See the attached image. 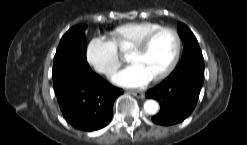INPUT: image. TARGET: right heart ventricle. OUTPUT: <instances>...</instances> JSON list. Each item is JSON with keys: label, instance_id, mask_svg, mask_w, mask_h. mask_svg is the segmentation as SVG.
<instances>
[{"label": "right heart ventricle", "instance_id": "obj_1", "mask_svg": "<svg viewBox=\"0 0 247 145\" xmlns=\"http://www.w3.org/2000/svg\"><path fill=\"white\" fill-rule=\"evenodd\" d=\"M159 27H161L160 24L154 22H130L115 27L109 32V35L117 49L127 50Z\"/></svg>", "mask_w": 247, "mask_h": 145}]
</instances>
